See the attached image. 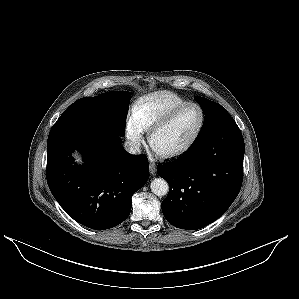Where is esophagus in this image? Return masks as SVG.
<instances>
[{
    "instance_id": "1",
    "label": "esophagus",
    "mask_w": 299,
    "mask_h": 299,
    "mask_svg": "<svg viewBox=\"0 0 299 299\" xmlns=\"http://www.w3.org/2000/svg\"><path fill=\"white\" fill-rule=\"evenodd\" d=\"M149 172L151 175H155L156 173V167L154 163H149Z\"/></svg>"
}]
</instances>
